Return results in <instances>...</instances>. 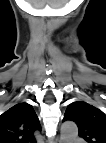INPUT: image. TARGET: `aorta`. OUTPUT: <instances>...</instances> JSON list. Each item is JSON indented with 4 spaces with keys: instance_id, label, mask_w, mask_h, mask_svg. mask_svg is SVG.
Returning a JSON list of instances; mask_svg holds the SVG:
<instances>
[{
    "instance_id": "762f6f07",
    "label": "aorta",
    "mask_w": 106,
    "mask_h": 143,
    "mask_svg": "<svg viewBox=\"0 0 106 143\" xmlns=\"http://www.w3.org/2000/svg\"><path fill=\"white\" fill-rule=\"evenodd\" d=\"M78 136V128L74 122L67 121L61 126V142L62 143H74Z\"/></svg>"
}]
</instances>
